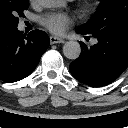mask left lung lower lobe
Instances as JSON below:
<instances>
[{"label":"left lung lower lobe","instance_id":"left-lung-lower-lobe-1","mask_svg":"<svg viewBox=\"0 0 128 128\" xmlns=\"http://www.w3.org/2000/svg\"><path fill=\"white\" fill-rule=\"evenodd\" d=\"M77 33L92 35L98 40L92 47L80 42L83 49L81 55L69 66L71 74L77 80L91 87H101L116 80L126 70L128 31L98 35L80 28Z\"/></svg>","mask_w":128,"mask_h":128}]
</instances>
